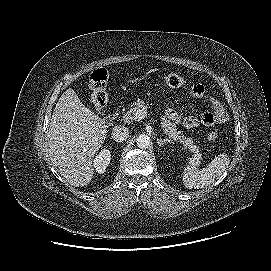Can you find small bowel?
I'll return each instance as SVG.
<instances>
[{
    "label": "small bowel",
    "instance_id": "small-bowel-1",
    "mask_svg": "<svg viewBox=\"0 0 271 271\" xmlns=\"http://www.w3.org/2000/svg\"><path fill=\"white\" fill-rule=\"evenodd\" d=\"M205 93V88L201 84L194 85L190 90V96L196 99L205 97ZM207 101L209 103L210 110L204 112L200 116L190 115L183 117L178 111L168 109L165 112V117L169 121L179 124L185 128H195L200 125L210 127L225 122L228 116L221 102L212 97L207 98Z\"/></svg>",
    "mask_w": 271,
    "mask_h": 271
}]
</instances>
